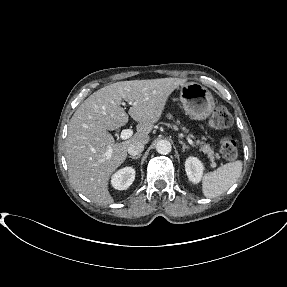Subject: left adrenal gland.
I'll return each mask as SVG.
<instances>
[{
	"instance_id": "obj_1",
	"label": "left adrenal gland",
	"mask_w": 287,
	"mask_h": 287,
	"mask_svg": "<svg viewBox=\"0 0 287 287\" xmlns=\"http://www.w3.org/2000/svg\"><path fill=\"white\" fill-rule=\"evenodd\" d=\"M179 143L182 144V151L185 152V149H189V147L181 140H179Z\"/></svg>"
}]
</instances>
